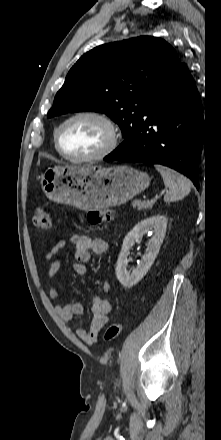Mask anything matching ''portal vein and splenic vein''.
<instances>
[{"label": "portal vein and splenic vein", "instance_id": "1", "mask_svg": "<svg viewBox=\"0 0 221 440\" xmlns=\"http://www.w3.org/2000/svg\"><path fill=\"white\" fill-rule=\"evenodd\" d=\"M158 199V195H155L153 199H151V202H155Z\"/></svg>", "mask_w": 221, "mask_h": 440}]
</instances>
